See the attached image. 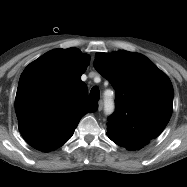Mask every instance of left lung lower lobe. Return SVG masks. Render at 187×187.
Here are the masks:
<instances>
[{
    "label": "left lung lower lobe",
    "mask_w": 187,
    "mask_h": 187,
    "mask_svg": "<svg viewBox=\"0 0 187 187\" xmlns=\"http://www.w3.org/2000/svg\"><path fill=\"white\" fill-rule=\"evenodd\" d=\"M115 143L118 144V145L120 144L119 141H115Z\"/></svg>",
    "instance_id": "1"
}]
</instances>
